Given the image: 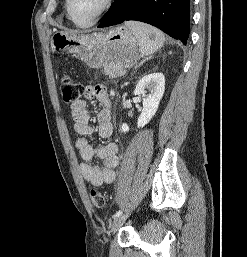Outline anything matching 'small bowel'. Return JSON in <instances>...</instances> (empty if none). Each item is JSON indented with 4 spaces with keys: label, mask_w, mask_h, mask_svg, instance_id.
I'll return each instance as SVG.
<instances>
[{
    "label": "small bowel",
    "mask_w": 247,
    "mask_h": 257,
    "mask_svg": "<svg viewBox=\"0 0 247 257\" xmlns=\"http://www.w3.org/2000/svg\"><path fill=\"white\" fill-rule=\"evenodd\" d=\"M97 99L102 107L97 113V133L103 139H109L113 135L112 103L106 88L103 85L87 86L83 91V99L71 104V116L73 127L80 135L75 141L81 159L80 171L83 178L99 187L103 184H110L115 179V169L118 166V145L109 142L104 146L95 148L87 139L95 133L91 125V115L87 109V100ZM94 158L101 160V166L92 164Z\"/></svg>",
    "instance_id": "1"
}]
</instances>
